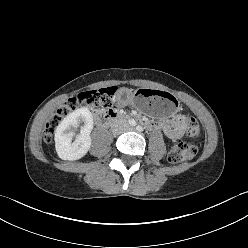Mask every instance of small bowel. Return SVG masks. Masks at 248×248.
I'll return each mask as SVG.
<instances>
[{"instance_id":"obj_1","label":"small bowel","mask_w":248,"mask_h":248,"mask_svg":"<svg viewBox=\"0 0 248 248\" xmlns=\"http://www.w3.org/2000/svg\"><path fill=\"white\" fill-rule=\"evenodd\" d=\"M188 119L185 115L179 114L170 122H147V125L150 128H160L163 132L171 139L179 138L187 125Z\"/></svg>"}]
</instances>
